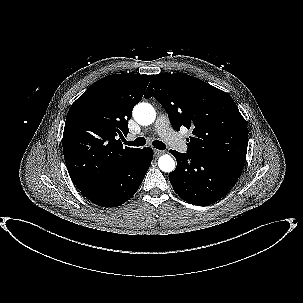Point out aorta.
I'll use <instances>...</instances> for the list:
<instances>
[{"label": "aorta", "instance_id": "1", "mask_svg": "<svg viewBox=\"0 0 303 303\" xmlns=\"http://www.w3.org/2000/svg\"><path fill=\"white\" fill-rule=\"evenodd\" d=\"M133 117L140 125H150L155 121L156 112L149 103H139L133 110ZM158 166L163 172H172L175 169V161L168 155H162L158 160Z\"/></svg>", "mask_w": 303, "mask_h": 303}]
</instances>
